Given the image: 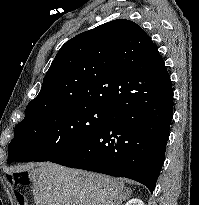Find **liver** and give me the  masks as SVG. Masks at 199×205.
<instances>
[{"label":"liver","mask_w":199,"mask_h":205,"mask_svg":"<svg viewBox=\"0 0 199 205\" xmlns=\"http://www.w3.org/2000/svg\"><path fill=\"white\" fill-rule=\"evenodd\" d=\"M32 173L36 205H121L131 195L123 180L51 162Z\"/></svg>","instance_id":"liver-1"}]
</instances>
